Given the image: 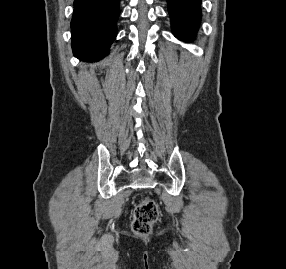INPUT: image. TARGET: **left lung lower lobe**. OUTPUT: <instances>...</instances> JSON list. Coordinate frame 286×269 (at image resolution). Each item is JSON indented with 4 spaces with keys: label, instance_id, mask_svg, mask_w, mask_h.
Here are the masks:
<instances>
[{
    "label": "left lung lower lobe",
    "instance_id": "0a47b994",
    "mask_svg": "<svg viewBox=\"0 0 286 269\" xmlns=\"http://www.w3.org/2000/svg\"><path fill=\"white\" fill-rule=\"evenodd\" d=\"M174 35L188 41L195 35L201 18V0H167Z\"/></svg>",
    "mask_w": 286,
    "mask_h": 269
}]
</instances>
